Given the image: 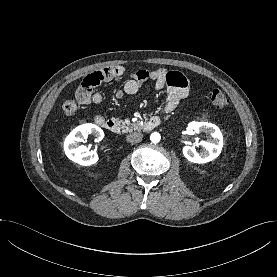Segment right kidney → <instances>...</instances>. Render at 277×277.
Masks as SVG:
<instances>
[{"mask_svg": "<svg viewBox=\"0 0 277 277\" xmlns=\"http://www.w3.org/2000/svg\"><path fill=\"white\" fill-rule=\"evenodd\" d=\"M95 136V142L104 138V132L98 126L87 123L73 129L64 141V151L66 156L75 163L82 166H90L98 161V155L95 151H90L87 147L78 143L82 142L88 135Z\"/></svg>", "mask_w": 277, "mask_h": 277, "instance_id": "ca27d5eb", "label": "right kidney"}]
</instances>
